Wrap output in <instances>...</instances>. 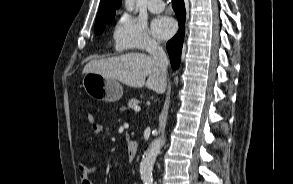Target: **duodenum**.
Returning <instances> with one entry per match:
<instances>
[{
	"label": "duodenum",
	"mask_w": 293,
	"mask_h": 184,
	"mask_svg": "<svg viewBox=\"0 0 293 184\" xmlns=\"http://www.w3.org/2000/svg\"><path fill=\"white\" fill-rule=\"evenodd\" d=\"M138 152V143L136 141H130L128 143V158L130 161H133Z\"/></svg>",
	"instance_id": "1"
}]
</instances>
